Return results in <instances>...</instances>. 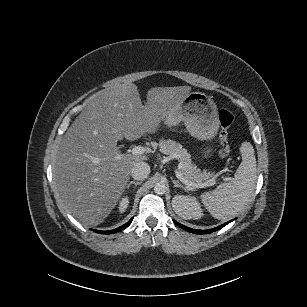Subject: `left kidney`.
Here are the masks:
<instances>
[{"instance_id":"obj_1","label":"left kidney","mask_w":307,"mask_h":307,"mask_svg":"<svg viewBox=\"0 0 307 307\" xmlns=\"http://www.w3.org/2000/svg\"><path fill=\"white\" fill-rule=\"evenodd\" d=\"M172 207L177 215L183 219H199L203 216L200 204L195 197L175 195L172 199Z\"/></svg>"}]
</instances>
